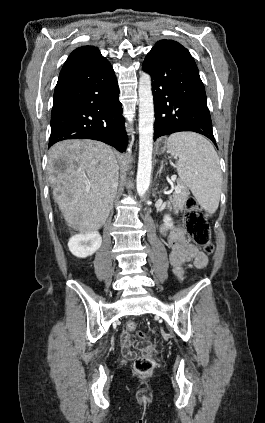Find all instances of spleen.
Returning <instances> with one entry per match:
<instances>
[{"label":"spleen","instance_id":"obj_1","mask_svg":"<svg viewBox=\"0 0 265 423\" xmlns=\"http://www.w3.org/2000/svg\"><path fill=\"white\" fill-rule=\"evenodd\" d=\"M167 150L177 161V173L200 206L214 214L219 206L222 175L214 146L194 132L169 136Z\"/></svg>","mask_w":265,"mask_h":423}]
</instances>
